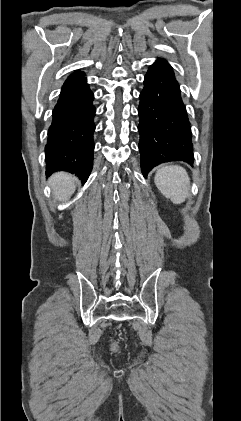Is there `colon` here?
<instances>
[{
    "label": "colon",
    "instance_id": "5ec220e1",
    "mask_svg": "<svg viewBox=\"0 0 241 421\" xmlns=\"http://www.w3.org/2000/svg\"><path fill=\"white\" fill-rule=\"evenodd\" d=\"M116 347H117V345H116V344H114V345H113V349L115 350V349H116Z\"/></svg>",
    "mask_w": 241,
    "mask_h": 421
}]
</instances>
